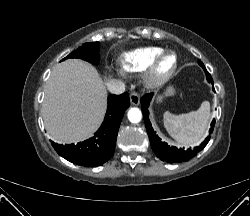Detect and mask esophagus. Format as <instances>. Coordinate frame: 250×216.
Returning <instances> with one entry per match:
<instances>
[{"label":"esophagus","mask_w":250,"mask_h":216,"mask_svg":"<svg viewBox=\"0 0 250 216\" xmlns=\"http://www.w3.org/2000/svg\"><path fill=\"white\" fill-rule=\"evenodd\" d=\"M130 102L132 105H135V106L140 104V96L138 95V93L132 92L130 94Z\"/></svg>","instance_id":"esophagus-1"}]
</instances>
